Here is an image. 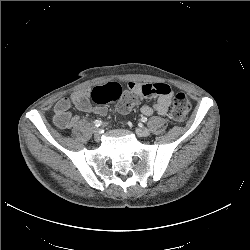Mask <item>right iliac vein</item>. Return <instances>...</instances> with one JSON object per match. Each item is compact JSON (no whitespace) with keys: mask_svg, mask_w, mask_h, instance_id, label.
<instances>
[{"mask_svg":"<svg viewBox=\"0 0 250 250\" xmlns=\"http://www.w3.org/2000/svg\"><path fill=\"white\" fill-rule=\"evenodd\" d=\"M92 133L94 134V136H95L96 138H98L99 135H100V130H99V128H97V127H92Z\"/></svg>","mask_w":250,"mask_h":250,"instance_id":"1","label":"right iliac vein"}]
</instances>
